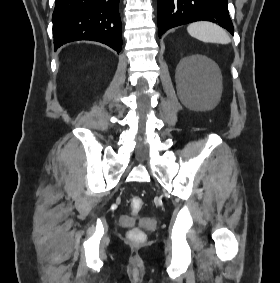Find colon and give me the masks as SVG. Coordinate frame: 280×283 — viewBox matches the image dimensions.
I'll return each instance as SVG.
<instances>
[{
	"instance_id": "1",
	"label": "colon",
	"mask_w": 280,
	"mask_h": 283,
	"mask_svg": "<svg viewBox=\"0 0 280 283\" xmlns=\"http://www.w3.org/2000/svg\"><path fill=\"white\" fill-rule=\"evenodd\" d=\"M143 206V200L140 197H133L131 200V209L133 212H138ZM129 235L136 240H141L144 237V234L139 229H132L129 232Z\"/></svg>"
}]
</instances>
